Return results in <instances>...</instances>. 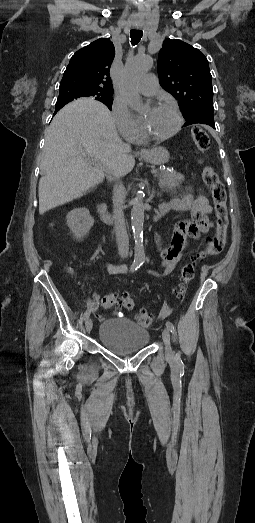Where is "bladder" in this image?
<instances>
[{
	"mask_svg": "<svg viewBox=\"0 0 255 523\" xmlns=\"http://www.w3.org/2000/svg\"><path fill=\"white\" fill-rule=\"evenodd\" d=\"M99 340L112 353L128 354L144 348L150 334L140 326L124 320L106 319L99 331Z\"/></svg>",
	"mask_w": 255,
	"mask_h": 523,
	"instance_id": "31cf9c89",
	"label": "bladder"
}]
</instances>
